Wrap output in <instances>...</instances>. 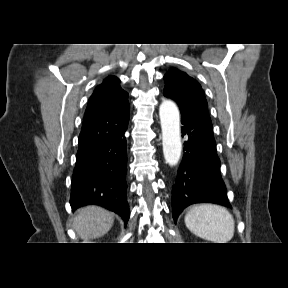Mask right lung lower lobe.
Masks as SVG:
<instances>
[{
    "mask_svg": "<svg viewBox=\"0 0 288 288\" xmlns=\"http://www.w3.org/2000/svg\"><path fill=\"white\" fill-rule=\"evenodd\" d=\"M126 130L127 126L107 141L77 152L70 197L73 210L96 204L117 213L125 223L129 220Z\"/></svg>",
    "mask_w": 288,
    "mask_h": 288,
    "instance_id": "right-lung-lower-lobe-1",
    "label": "right lung lower lobe"
}]
</instances>
